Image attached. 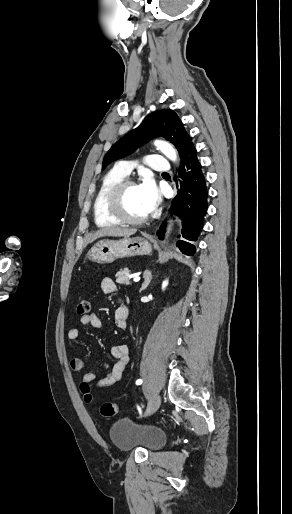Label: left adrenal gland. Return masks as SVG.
Listing matches in <instances>:
<instances>
[{
    "label": "left adrenal gland",
    "mask_w": 292,
    "mask_h": 514,
    "mask_svg": "<svg viewBox=\"0 0 292 514\" xmlns=\"http://www.w3.org/2000/svg\"><path fill=\"white\" fill-rule=\"evenodd\" d=\"M143 278H144V282L142 284V288H140V292H142V290H146L147 286H149V284L152 280L151 272H149V270H145V272L143 274Z\"/></svg>",
    "instance_id": "a2214340"
}]
</instances>
